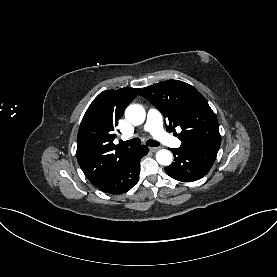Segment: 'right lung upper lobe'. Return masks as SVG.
<instances>
[{
    "mask_svg": "<svg viewBox=\"0 0 277 277\" xmlns=\"http://www.w3.org/2000/svg\"><path fill=\"white\" fill-rule=\"evenodd\" d=\"M140 90L126 87L104 91L93 100L82 119L77 136V160L95 187L108 180L135 149L118 147L113 140L118 120Z\"/></svg>",
    "mask_w": 277,
    "mask_h": 277,
    "instance_id": "cb5924a9",
    "label": "right lung upper lobe"
}]
</instances>
